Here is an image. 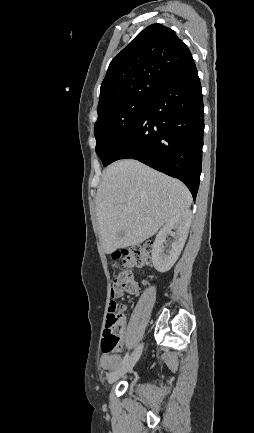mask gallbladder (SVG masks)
Segmentation results:
<instances>
[{
    "label": "gallbladder",
    "mask_w": 254,
    "mask_h": 433,
    "mask_svg": "<svg viewBox=\"0 0 254 433\" xmlns=\"http://www.w3.org/2000/svg\"><path fill=\"white\" fill-rule=\"evenodd\" d=\"M121 235H123V233H122V232H120V236H121Z\"/></svg>",
    "instance_id": "1"
}]
</instances>
